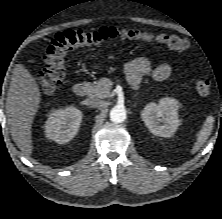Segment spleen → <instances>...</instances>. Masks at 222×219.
<instances>
[{"mask_svg":"<svg viewBox=\"0 0 222 219\" xmlns=\"http://www.w3.org/2000/svg\"><path fill=\"white\" fill-rule=\"evenodd\" d=\"M213 122H214L213 116H208L206 118L201 130L198 133L197 140L191 150L192 154L196 153L203 146L208 137L211 135L213 129Z\"/></svg>","mask_w":222,"mask_h":219,"instance_id":"obj_1","label":"spleen"}]
</instances>
